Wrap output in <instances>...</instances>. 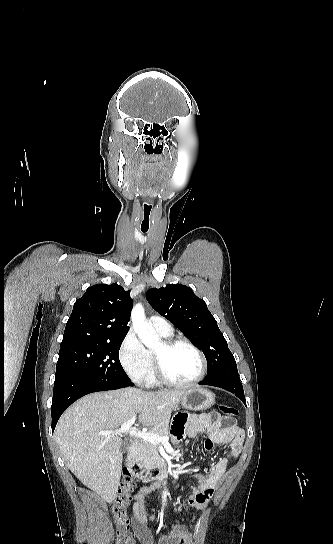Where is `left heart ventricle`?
<instances>
[{"label": "left heart ventricle", "instance_id": "b2bd125f", "mask_svg": "<svg viewBox=\"0 0 333 544\" xmlns=\"http://www.w3.org/2000/svg\"><path fill=\"white\" fill-rule=\"evenodd\" d=\"M161 358L166 375L176 382H187L195 378L201 370L199 356L189 347L180 345L166 349L163 343L155 350Z\"/></svg>", "mask_w": 333, "mask_h": 544}]
</instances>
